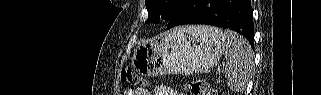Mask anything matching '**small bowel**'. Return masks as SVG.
Instances as JSON below:
<instances>
[{
  "label": "small bowel",
  "instance_id": "1",
  "mask_svg": "<svg viewBox=\"0 0 321 95\" xmlns=\"http://www.w3.org/2000/svg\"><path fill=\"white\" fill-rule=\"evenodd\" d=\"M128 95H150V93L144 89H137L135 92L127 91ZM155 95H183V93H178L176 90L169 86L160 85L155 88Z\"/></svg>",
  "mask_w": 321,
  "mask_h": 95
}]
</instances>
